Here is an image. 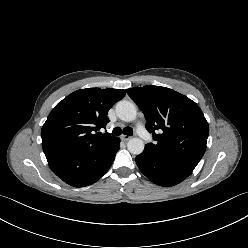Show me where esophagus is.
Instances as JSON below:
<instances>
[{"label":"esophagus","mask_w":248,"mask_h":248,"mask_svg":"<svg viewBox=\"0 0 248 248\" xmlns=\"http://www.w3.org/2000/svg\"><path fill=\"white\" fill-rule=\"evenodd\" d=\"M121 138L124 141H129L132 137L131 136H128V135H122Z\"/></svg>","instance_id":"obj_1"}]
</instances>
